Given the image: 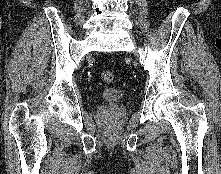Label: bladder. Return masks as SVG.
Here are the masks:
<instances>
[{
	"label": "bladder",
	"mask_w": 221,
	"mask_h": 174,
	"mask_svg": "<svg viewBox=\"0 0 221 174\" xmlns=\"http://www.w3.org/2000/svg\"><path fill=\"white\" fill-rule=\"evenodd\" d=\"M126 97V94L116 88H109L106 89L103 93V98L108 99V100H119L123 99Z\"/></svg>",
	"instance_id": "1"
}]
</instances>
